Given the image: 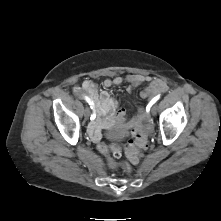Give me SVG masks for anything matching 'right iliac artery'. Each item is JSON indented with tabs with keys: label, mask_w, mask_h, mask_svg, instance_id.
<instances>
[{
	"label": "right iliac artery",
	"mask_w": 221,
	"mask_h": 221,
	"mask_svg": "<svg viewBox=\"0 0 221 221\" xmlns=\"http://www.w3.org/2000/svg\"><path fill=\"white\" fill-rule=\"evenodd\" d=\"M86 100H87V102L89 103V105H91V108H93V107H92V103L89 101V99L87 98ZM95 117H96V115H95V113H93V114L91 115V120H94Z\"/></svg>",
	"instance_id": "obj_1"
}]
</instances>
